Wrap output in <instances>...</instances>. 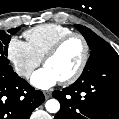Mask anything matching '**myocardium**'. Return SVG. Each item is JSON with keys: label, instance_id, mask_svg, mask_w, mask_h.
<instances>
[{"label": "myocardium", "instance_id": "myocardium-1", "mask_svg": "<svg viewBox=\"0 0 119 119\" xmlns=\"http://www.w3.org/2000/svg\"><path fill=\"white\" fill-rule=\"evenodd\" d=\"M79 39L82 44H83V48H84V54H83V58L82 61L80 63V65L78 66V68L67 78L60 80V82L64 85H68V84H72L73 82H75L84 72L86 65L89 61V57H90V47L89 44L86 40V38L80 34V33H71L69 35H66L64 37H62L60 40H58L45 54L44 58H43V64L45 65L46 62L53 58L54 56H56L60 50L63 48V46L69 42L72 39Z\"/></svg>", "mask_w": 119, "mask_h": 119}]
</instances>
